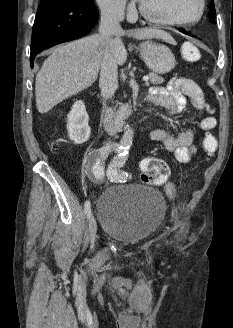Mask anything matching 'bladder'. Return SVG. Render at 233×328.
<instances>
[{"mask_svg": "<svg viewBox=\"0 0 233 328\" xmlns=\"http://www.w3.org/2000/svg\"><path fill=\"white\" fill-rule=\"evenodd\" d=\"M166 212L163 196L140 185H114L99 197L97 217L101 230L121 242H139L154 233Z\"/></svg>", "mask_w": 233, "mask_h": 328, "instance_id": "1", "label": "bladder"}]
</instances>
